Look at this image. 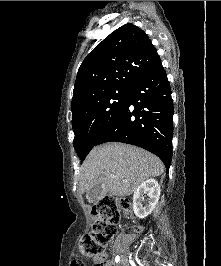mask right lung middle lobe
I'll use <instances>...</instances> for the list:
<instances>
[{"label": "right lung middle lobe", "instance_id": "obj_1", "mask_svg": "<svg viewBox=\"0 0 221 266\" xmlns=\"http://www.w3.org/2000/svg\"><path fill=\"white\" fill-rule=\"evenodd\" d=\"M129 91V87H120L100 92L90 97L82 109L72 116L73 145L81 160L85 159L103 131L123 110Z\"/></svg>", "mask_w": 221, "mask_h": 266}]
</instances>
